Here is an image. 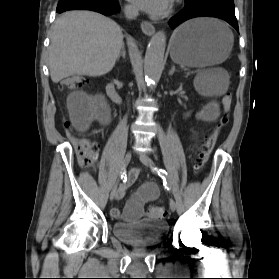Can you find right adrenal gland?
Returning <instances> with one entry per match:
<instances>
[{
	"instance_id": "1",
	"label": "right adrenal gland",
	"mask_w": 279,
	"mask_h": 279,
	"mask_svg": "<svg viewBox=\"0 0 279 279\" xmlns=\"http://www.w3.org/2000/svg\"><path fill=\"white\" fill-rule=\"evenodd\" d=\"M121 56L125 59L126 51H125V46H124V44L122 45V50H121V52H120V54H119V56H118V58H117L118 61H119V59H120Z\"/></svg>"
}]
</instances>
